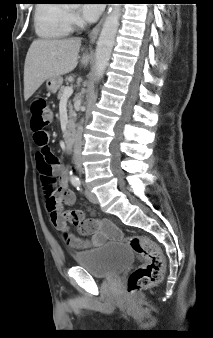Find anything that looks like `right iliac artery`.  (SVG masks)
Wrapping results in <instances>:
<instances>
[{
  "label": "right iliac artery",
  "mask_w": 213,
  "mask_h": 338,
  "mask_svg": "<svg viewBox=\"0 0 213 338\" xmlns=\"http://www.w3.org/2000/svg\"><path fill=\"white\" fill-rule=\"evenodd\" d=\"M74 187H76L78 190H80V187H81V182L80 181H75L73 183Z\"/></svg>",
  "instance_id": "right-iliac-artery-1"
}]
</instances>
